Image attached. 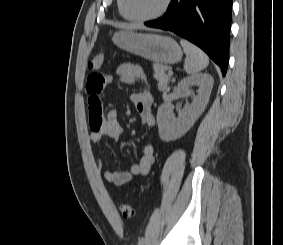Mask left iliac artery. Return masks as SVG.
I'll return each mask as SVG.
<instances>
[{"label": "left iliac artery", "instance_id": "obj_1", "mask_svg": "<svg viewBox=\"0 0 283 245\" xmlns=\"http://www.w3.org/2000/svg\"><path fill=\"white\" fill-rule=\"evenodd\" d=\"M144 238H140L137 245H144Z\"/></svg>", "mask_w": 283, "mask_h": 245}]
</instances>
